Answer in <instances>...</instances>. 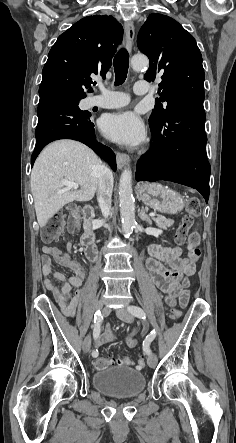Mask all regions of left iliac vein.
Instances as JSON below:
<instances>
[{"instance_id": "1", "label": "left iliac vein", "mask_w": 236, "mask_h": 443, "mask_svg": "<svg viewBox=\"0 0 236 443\" xmlns=\"http://www.w3.org/2000/svg\"><path fill=\"white\" fill-rule=\"evenodd\" d=\"M116 315L119 319H121L122 321L126 322V323H132L133 322V316L132 314L127 311L125 308H120L118 310H116ZM158 359L157 356L152 353L148 356L147 359V363L149 365V367L154 368L157 365Z\"/></svg>"}]
</instances>
